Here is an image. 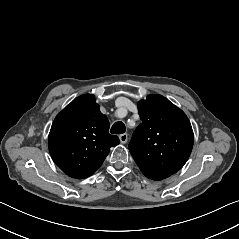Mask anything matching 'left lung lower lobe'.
I'll return each instance as SVG.
<instances>
[{
    "instance_id": "obj_1",
    "label": "left lung lower lobe",
    "mask_w": 239,
    "mask_h": 239,
    "mask_svg": "<svg viewBox=\"0 0 239 239\" xmlns=\"http://www.w3.org/2000/svg\"><path fill=\"white\" fill-rule=\"evenodd\" d=\"M146 177L152 179V180H162L169 176L163 175V174H156V173H143Z\"/></svg>"
}]
</instances>
